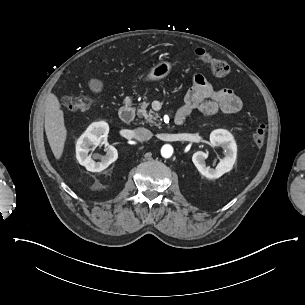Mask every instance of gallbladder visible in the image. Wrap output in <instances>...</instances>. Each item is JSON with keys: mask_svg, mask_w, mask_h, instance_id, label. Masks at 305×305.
Instances as JSON below:
<instances>
[{"mask_svg": "<svg viewBox=\"0 0 305 305\" xmlns=\"http://www.w3.org/2000/svg\"><path fill=\"white\" fill-rule=\"evenodd\" d=\"M89 87L93 92H100L103 88V83L97 79H91L89 81Z\"/></svg>", "mask_w": 305, "mask_h": 305, "instance_id": "bac80fb5", "label": "gallbladder"}]
</instances>
